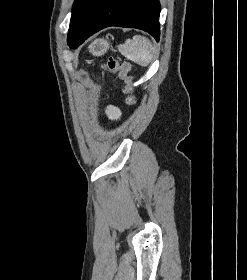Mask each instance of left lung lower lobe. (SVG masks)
I'll return each instance as SVG.
<instances>
[{
    "mask_svg": "<svg viewBox=\"0 0 247 280\" xmlns=\"http://www.w3.org/2000/svg\"><path fill=\"white\" fill-rule=\"evenodd\" d=\"M158 0H101L89 13L79 31L68 36L70 48H77L89 36L109 26L138 28L160 36Z\"/></svg>",
    "mask_w": 247,
    "mask_h": 280,
    "instance_id": "obj_1",
    "label": "left lung lower lobe"
}]
</instances>
